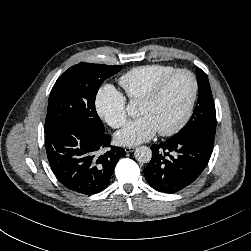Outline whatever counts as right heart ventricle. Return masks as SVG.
I'll list each match as a JSON object with an SVG mask.
<instances>
[{
    "label": "right heart ventricle",
    "mask_w": 251,
    "mask_h": 251,
    "mask_svg": "<svg viewBox=\"0 0 251 251\" xmlns=\"http://www.w3.org/2000/svg\"><path fill=\"white\" fill-rule=\"evenodd\" d=\"M175 70L173 66L162 64L135 67L119 78V85L130 101H140L159 81Z\"/></svg>",
    "instance_id": "obj_1"
}]
</instances>
